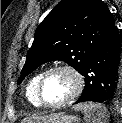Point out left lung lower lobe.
<instances>
[{"instance_id":"1","label":"left lung lower lobe","mask_w":122,"mask_h":123,"mask_svg":"<svg viewBox=\"0 0 122 123\" xmlns=\"http://www.w3.org/2000/svg\"><path fill=\"white\" fill-rule=\"evenodd\" d=\"M121 41L115 25L92 53L81 73L85 87L75 104L86 101L112 102L118 96Z\"/></svg>"}]
</instances>
